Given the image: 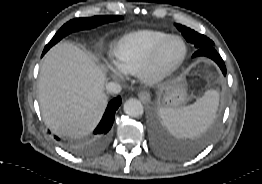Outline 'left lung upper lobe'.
<instances>
[{
	"label": "left lung upper lobe",
	"mask_w": 262,
	"mask_h": 184,
	"mask_svg": "<svg viewBox=\"0 0 262 184\" xmlns=\"http://www.w3.org/2000/svg\"><path fill=\"white\" fill-rule=\"evenodd\" d=\"M175 26L182 33L187 42L194 44V46L199 49L206 46H214V42L210 40L208 37L197 33L196 31L179 24H175Z\"/></svg>",
	"instance_id": "5c2ea615"
}]
</instances>
